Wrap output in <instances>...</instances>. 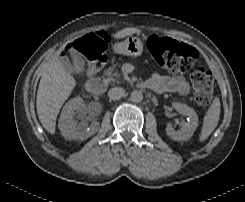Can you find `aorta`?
<instances>
[{"mask_svg":"<svg viewBox=\"0 0 245 202\" xmlns=\"http://www.w3.org/2000/svg\"><path fill=\"white\" fill-rule=\"evenodd\" d=\"M130 100L134 103H139L143 100V94L141 91H133L130 94Z\"/></svg>","mask_w":245,"mask_h":202,"instance_id":"1","label":"aorta"}]
</instances>
